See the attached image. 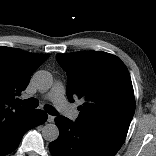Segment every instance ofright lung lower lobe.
<instances>
[{
    "label": "right lung lower lobe",
    "instance_id": "right-lung-lower-lobe-1",
    "mask_svg": "<svg viewBox=\"0 0 156 156\" xmlns=\"http://www.w3.org/2000/svg\"><path fill=\"white\" fill-rule=\"evenodd\" d=\"M46 120L47 114L44 111L30 109L0 121V156L15 150L29 129L41 125Z\"/></svg>",
    "mask_w": 156,
    "mask_h": 156
}]
</instances>
